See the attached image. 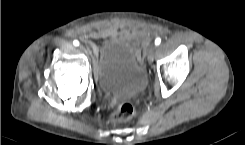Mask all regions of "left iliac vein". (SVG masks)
Segmentation results:
<instances>
[{
    "label": "left iliac vein",
    "instance_id": "obj_1",
    "mask_svg": "<svg viewBox=\"0 0 245 145\" xmlns=\"http://www.w3.org/2000/svg\"><path fill=\"white\" fill-rule=\"evenodd\" d=\"M155 49L156 46L155 45H150L147 49H146V57L149 63H151L154 59V54H155Z\"/></svg>",
    "mask_w": 245,
    "mask_h": 145
}]
</instances>
